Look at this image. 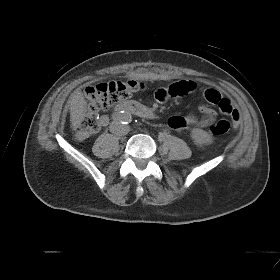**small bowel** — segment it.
Wrapping results in <instances>:
<instances>
[{
    "label": "small bowel",
    "mask_w": 280,
    "mask_h": 280,
    "mask_svg": "<svg viewBox=\"0 0 280 280\" xmlns=\"http://www.w3.org/2000/svg\"><path fill=\"white\" fill-rule=\"evenodd\" d=\"M197 85L191 80H180L172 83L167 87L159 88L155 91L154 97L159 102H165L171 98H177L184 96L195 91ZM204 97L207 102L211 104H216L222 113L227 115H232L236 113L239 118L238 111L234 108L231 102L221 96V94L215 89H207L204 92ZM216 101L225 102L226 106L221 103H216ZM200 116L188 115V116H173L169 119V127L176 131H185L193 128L206 127L212 125L216 120V111L207 105H201ZM108 121L107 116H102L100 118V126H104ZM91 132L79 131L77 133V138L79 140H84L90 136Z\"/></svg>",
    "instance_id": "small-bowel-1"
}]
</instances>
